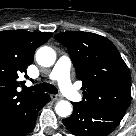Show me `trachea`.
<instances>
[{"label":"trachea","instance_id":"obj_1","mask_svg":"<svg viewBox=\"0 0 136 136\" xmlns=\"http://www.w3.org/2000/svg\"><path fill=\"white\" fill-rule=\"evenodd\" d=\"M26 91H39V92H48L50 94H57L58 90L55 86L48 83H41L33 87L25 88Z\"/></svg>","mask_w":136,"mask_h":136}]
</instances>
